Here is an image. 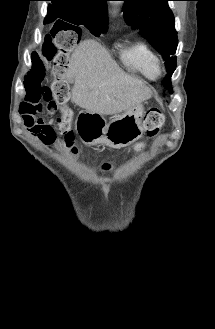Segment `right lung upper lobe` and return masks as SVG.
I'll return each mask as SVG.
<instances>
[{"label": "right lung upper lobe", "mask_w": 215, "mask_h": 329, "mask_svg": "<svg viewBox=\"0 0 215 329\" xmlns=\"http://www.w3.org/2000/svg\"><path fill=\"white\" fill-rule=\"evenodd\" d=\"M52 2L48 6V12L52 15L47 16L45 22L50 23L55 19H63L67 21L69 16H79L86 22L99 24L107 29L108 16L107 4L108 0H49ZM48 15V14H47ZM61 21V20H58ZM62 22V21H61Z\"/></svg>", "instance_id": "cb5924a9"}]
</instances>
